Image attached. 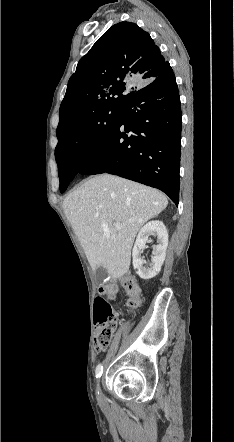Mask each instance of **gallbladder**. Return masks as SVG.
Returning <instances> with one entry per match:
<instances>
[{"label": "gallbladder", "mask_w": 234, "mask_h": 442, "mask_svg": "<svg viewBox=\"0 0 234 442\" xmlns=\"http://www.w3.org/2000/svg\"><path fill=\"white\" fill-rule=\"evenodd\" d=\"M95 276H96V281H97L98 283H102V282L104 281V279L106 278V276H107V271H106V269L103 268L102 266H101V267H98V268L96 269V271H95Z\"/></svg>", "instance_id": "gallbladder-1"}]
</instances>
